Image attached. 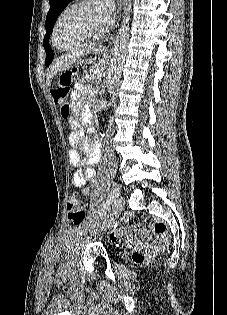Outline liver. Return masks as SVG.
I'll return each instance as SVG.
<instances>
[{
    "label": "liver",
    "mask_w": 227,
    "mask_h": 315,
    "mask_svg": "<svg viewBox=\"0 0 227 315\" xmlns=\"http://www.w3.org/2000/svg\"><path fill=\"white\" fill-rule=\"evenodd\" d=\"M82 55L80 52H74L64 55L56 60L50 67V71L47 73V84H50V79L56 76L60 71L69 69L74 63L78 62L79 57Z\"/></svg>",
    "instance_id": "liver-1"
}]
</instances>
